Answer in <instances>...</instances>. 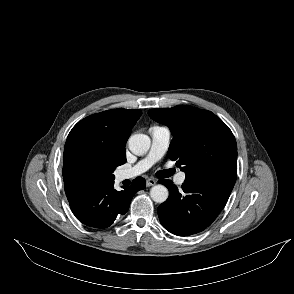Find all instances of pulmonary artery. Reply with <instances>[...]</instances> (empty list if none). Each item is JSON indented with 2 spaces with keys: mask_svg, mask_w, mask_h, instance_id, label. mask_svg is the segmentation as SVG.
Here are the masks:
<instances>
[{
  "mask_svg": "<svg viewBox=\"0 0 294 294\" xmlns=\"http://www.w3.org/2000/svg\"><path fill=\"white\" fill-rule=\"evenodd\" d=\"M150 135L151 146L147 155L135 165L120 170L117 173L119 180L131 179L144 173L165 155L171 140L170 129L166 126L154 125L150 128ZM185 180V172H180L175 177L177 185H182Z\"/></svg>",
  "mask_w": 294,
  "mask_h": 294,
  "instance_id": "pulmonary-artery-1",
  "label": "pulmonary artery"
}]
</instances>
